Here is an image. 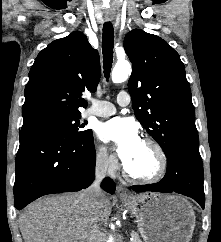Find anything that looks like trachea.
<instances>
[{
  "mask_svg": "<svg viewBox=\"0 0 221 242\" xmlns=\"http://www.w3.org/2000/svg\"><path fill=\"white\" fill-rule=\"evenodd\" d=\"M114 28L111 22H106L103 26L102 34V52L103 68L105 77H110V71L113 62Z\"/></svg>",
  "mask_w": 221,
  "mask_h": 242,
  "instance_id": "1",
  "label": "trachea"
}]
</instances>
